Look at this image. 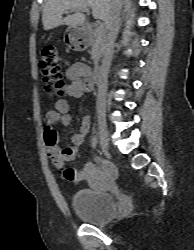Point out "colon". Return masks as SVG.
<instances>
[{
	"instance_id": "5ec220e1",
	"label": "colon",
	"mask_w": 194,
	"mask_h": 250,
	"mask_svg": "<svg viewBox=\"0 0 194 250\" xmlns=\"http://www.w3.org/2000/svg\"><path fill=\"white\" fill-rule=\"evenodd\" d=\"M61 58L54 46H46L41 52L40 68L45 74L47 91L55 96L64 92L66 81L60 70Z\"/></svg>"
}]
</instances>
